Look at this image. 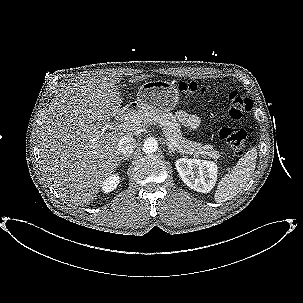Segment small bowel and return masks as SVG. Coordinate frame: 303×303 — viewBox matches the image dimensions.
<instances>
[{
	"label": "small bowel",
	"instance_id": "1",
	"mask_svg": "<svg viewBox=\"0 0 303 303\" xmlns=\"http://www.w3.org/2000/svg\"><path fill=\"white\" fill-rule=\"evenodd\" d=\"M178 121L188 129H194L198 126V118L195 115L188 114L184 111L177 113Z\"/></svg>",
	"mask_w": 303,
	"mask_h": 303
}]
</instances>
